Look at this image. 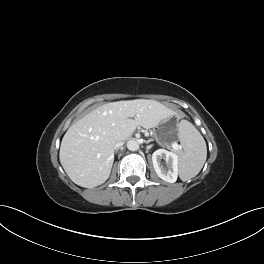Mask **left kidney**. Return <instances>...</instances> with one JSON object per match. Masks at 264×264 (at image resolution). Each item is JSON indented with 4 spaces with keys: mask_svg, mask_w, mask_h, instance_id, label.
Listing matches in <instances>:
<instances>
[{
    "mask_svg": "<svg viewBox=\"0 0 264 264\" xmlns=\"http://www.w3.org/2000/svg\"><path fill=\"white\" fill-rule=\"evenodd\" d=\"M167 164L165 168L161 160ZM152 162L157 175L164 181L174 183L178 177V155L165 149H158L152 154Z\"/></svg>",
    "mask_w": 264,
    "mask_h": 264,
    "instance_id": "left-kidney-1",
    "label": "left kidney"
}]
</instances>
